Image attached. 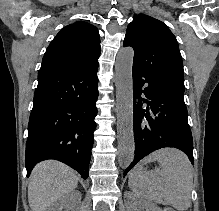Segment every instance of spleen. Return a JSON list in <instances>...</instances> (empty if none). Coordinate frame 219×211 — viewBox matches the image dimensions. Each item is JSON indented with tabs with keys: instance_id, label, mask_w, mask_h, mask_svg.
I'll use <instances>...</instances> for the list:
<instances>
[{
	"instance_id": "obj_1",
	"label": "spleen",
	"mask_w": 219,
	"mask_h": 211,
	"mask_svg": "<svg viewBox=\"0 0 219 211\" xmlns=\"http://www.w3.org/2000/svg\"><path fill=\"white\" fill-rule=\"evenodd\" d=\"M149 161H159L161 169L144 171L139 163L130 171V189L146 201L172 205L179 211L188 209L191 205L193 171L187 155L175 147H162L143 159V163Z\"/></svg>"
}]
</instances>
